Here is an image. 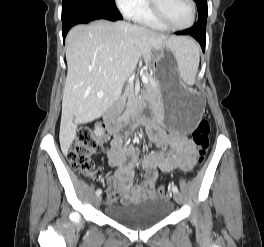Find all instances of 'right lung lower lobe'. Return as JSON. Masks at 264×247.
Instances as JSON below:
<instances>
[{
  "mask_svg": "<svg viewBox=\"0 0 264 247\" xmlns=\"http://www.w3.org/2000/svg\"><path fill=\"white\" fill-rule=\"evenodd\" d=\"M97 19L116 21L122 19V16L116 5L110 6L84 0L63 1V40H65V37L72 26L81 23H88Z\"/></svg>",
  "mask_w": 264,
  "mask_h": 247,
  "instance_id": "right-lung-lower-lobe-1",
  "label": "right lung lower lobe"
}]
</instances>
